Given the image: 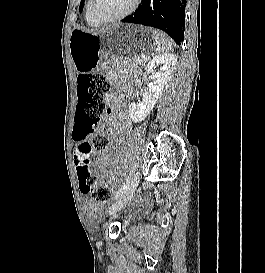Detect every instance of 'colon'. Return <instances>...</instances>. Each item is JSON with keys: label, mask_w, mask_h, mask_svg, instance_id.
I'll list each match as a JSON object with an SVG mask.
<instances>
[{"label": "colon", "mask_w": 265, "mask_h": 273, "mask_svg": "<svg viewBox=\"0 0 265 273\" xmlns=\"http://www.w3.org/2000/svg\"><path fill=\"white\" fill-rule=\"evenodd\" d=\"M109 83L102 75L80 73L77 78V113L72 139L82 142L78 148L77 176L80 190L88 195L91 206L105 203L110 198V188L101 182L91 164H82V159H92L108 147V139L99 133L101 118L108 113L104 96ZM91 137L89 141H86Z\"/></svg>", "instance_id": "obj_1"}]
</instances>
